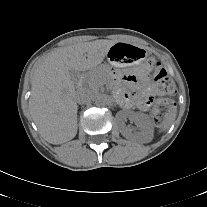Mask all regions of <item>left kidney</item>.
Wrapping results in <instances>:
<instances>
[{
    "label": "left kidney",
    "instance_id": "5707ae66",
    "mask_svg": "<svg viewBox=\"0 0 207 207\" xmlns=\"http://www.w3.org/2000/svg\"><path fill=\"white\" fill-rule=\"evenodd\" d=\"M116 117L122 121L121 133L124 137L128 138L132 136V132L124 125L123 121L129 119L134 122L139 128L137 136L144 142H149L153 138V124L151 119L143 113L132 111H119Z\"/></svg>",
    "mask_w": 207,
    "mask_h": 207
}]
</instances>
